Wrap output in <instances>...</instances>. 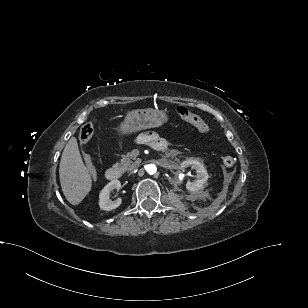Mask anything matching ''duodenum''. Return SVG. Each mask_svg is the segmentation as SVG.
Masks as SVG:
<instances>
[{"label":"duodenum","instance_id":"410a0bca","mask_svg":"<svg viewBox=\"0 0 308 308\" xmlns=\"http://www.w3.org/2000/svg\"><path fill=\"white\" fill-rule=\"evenodd\" d=\"M164 146V143H160L158 149H162ZM105 176L109 181H116L121 178V171L117 167H110L106 170Z\"/></svg>","mask_w":308,"mask_h":308}]
</instances>
